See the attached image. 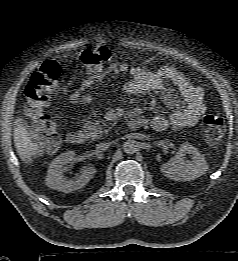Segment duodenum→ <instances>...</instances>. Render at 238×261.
Returning <instances> with one entry per match:
<instances>
[{"instance_id": "410a0bca", "label": "duodenum", "mask_w": 238, "mask_h": 261, "mask_svg": "<svg viewBox=\"0 0 238 261\" xmlns=\"http://www.w3.org/2000/svg\"><path fill=\"white\" fill-rule=\"evenodd\" d=\"M146 125V120L140 117L133 118L129 121V128L137 130ZM67 143L71 145H80L84 142V135L81 132H70L66 136Z\"/></svg>"}]
</instances>
